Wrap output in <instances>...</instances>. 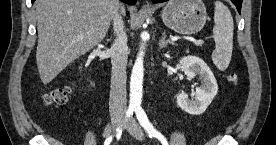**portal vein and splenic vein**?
Returning a JSON list of instances; mask_svg holds the SVG:
<instances>
[{"label": "portal vein and splenic vein", "mask_w": 276, "mask_h": 145, "mask_svg": "<svg viewBox=\"0 0 276 145\" xmlns=\"http://www.w3.org/2000/svg\"><path fill=\"white\" fill-rule=\"evenodd\" d=\"M82 39V38H81ZM196 46H201L204 44V41L203 40H197L195 43H194Z\"/></svg>", "instance_id": "1"}]
</instances>
